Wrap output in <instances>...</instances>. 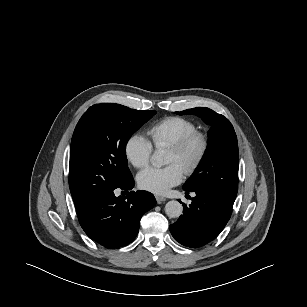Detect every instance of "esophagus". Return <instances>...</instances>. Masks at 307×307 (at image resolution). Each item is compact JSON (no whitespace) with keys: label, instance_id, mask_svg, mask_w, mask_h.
<instances>
[{"label":"esophagus","instance_id":"1","mask_svg":"<svg viewBox=\"0 0 307 307\" xmlns=\"http://www.w3.org/2000/svg\"><path fill=\"white\" fill-rule=\"evenodd\" d=\"M155 198L158 204H161L162 202L166 201V198L160 195H155Z\"/></svg>","mask_w":307,"mask_h":307}]
</instances>
